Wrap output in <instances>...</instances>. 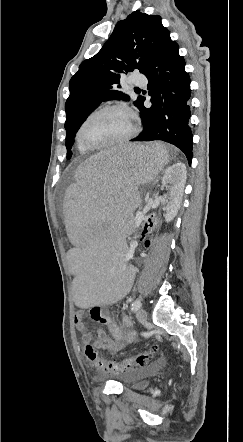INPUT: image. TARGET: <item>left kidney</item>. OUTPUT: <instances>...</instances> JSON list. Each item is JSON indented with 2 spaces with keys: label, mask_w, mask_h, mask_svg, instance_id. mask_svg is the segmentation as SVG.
<instances>
[{
  "label": "left kidney",
  "mask_w": 243,
  "mask_h": 442,
  "mask_svg": "<svg viewBox=\"0 0 243 442\" xmlns=\"http://www.w3.org/2000/svg\"><path fill=\"white\" fill-rule=\"evenodd\" d=\"M186 174L185 164L178 162L168 167L162 178L163 186L169 188V201L164 208L166 222H171L178 213L187 178Z\"/></svg>",
  "instance_id": "1"
}]
</instances>
